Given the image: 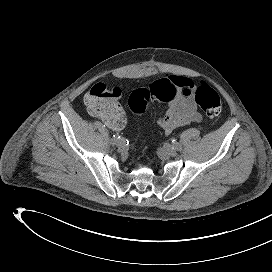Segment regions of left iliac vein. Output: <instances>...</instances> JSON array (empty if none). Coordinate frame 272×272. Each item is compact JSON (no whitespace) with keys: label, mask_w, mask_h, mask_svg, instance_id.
I'll list each match as a JSON object with an SVG mask.
<instances>
[{"label":"left iliac vein","mask_w":272,"mask_h":272,"mask_svg":"<svg viewBox=\"0 0 272 272\" xmlns=\"http://www.w3.org/2000/svg\"><path fill=\"white\" fill-rule=\"evenodd\" d=\"M163 153L167 156H171V157H174L177 155V152L172 149V147L170 145H165L164 148H163Z\"/></svg>","instance_id":"obj_1"}]
</instances>
